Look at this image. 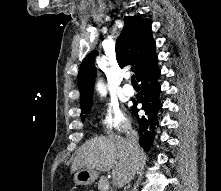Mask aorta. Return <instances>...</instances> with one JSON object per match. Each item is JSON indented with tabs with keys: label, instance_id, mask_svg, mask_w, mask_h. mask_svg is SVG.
<instances>
[{
	"label": "aorta",
	"instance_id": "aorta-1",
	"mask_svg": "<svg viewBox=\"0 0 221 191\" xmlns=\"http://www.w3.org/2000/svg\"><path fill=\"white\" fill-rule=\"evenodd\" d=\"M96 87H97L98 92H99L102 96L106 95V89H105V86H104V84H103L102 82H98L97 85H96Z\"/></svg>",
	"mask_w": 221,
	"mask_h": 191
}]
</instances>
